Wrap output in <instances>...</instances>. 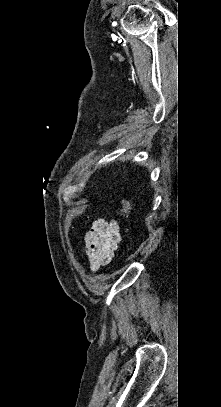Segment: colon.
Masks as SVG:
<instances>
[{"instance_id": "colon-1", "label": "colon", "mask_w": 221, "mask_h": 407, "mask_svg": "<svg viewBox=\"0 0 221 407\" xmlns=\"http://www.w3.org/2000/svg\"><path fill=\"white\" fill-rule=\"evenodd\" d=\"M120 212L123 216L128 217L131 212V204L126 200H122Z\"/></svg>"}]
</instances>
